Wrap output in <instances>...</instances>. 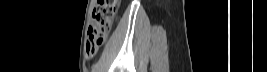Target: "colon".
Listing matches in <instances>:
<instances>
[{"label":"colon","instance_id":"colon-1","mask_svg":"<svg viewBox=\"0 0 267 72\" xmlns=\"http://www.w3.org/2000/svg\"><path fill=\"white\" fill-rule=\"evenodd\" d=\"M119 0H98L93 10L94 23L88 30V51L94 52L102 46L116 16Z\"/></svg>","mask_w":267,"mask_h":72}]
</instances>
